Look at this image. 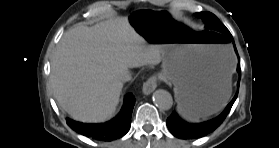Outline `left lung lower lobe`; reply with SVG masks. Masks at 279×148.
Here are the masks:
<instances>
[{"label": "left lung lower lobe", "instance_id": "0a47b994", "mask_svg": "<svg viewBox=\"0 0 279 148\" xmlns=\"http://www.w3.org/2000/svg\"><path fill=\"white\" fill-rule=\"evenodd\" d=\"M228 36H230L232 38V35L229 34ZM227 38V37H226ZM228 41H230V39L227 38ZM234 44V41H233ZM234 48H235V52L238 56V52L237 49L235 47L234 44ZM238 66H237V71L239 73V81H238V88H237V92L234 96V98L232 99V101L227 105L226 109L215 119L210 120L208 122H204V123H199V124H190L187 123L185 121H183L182 119H180L178 117V115L176 113H172L170 115V117L167 119V126L169 128V130L171 131V133L180 138V139H195V138H200L203 137L207 134H209L210 132L214 131L218 126H220V124L224 121V119L226 118V116L228 115V113L230 112L237 96H238V91H239V83H240V76H241V69H240V59L238 56Z\"/></svg>", "mask_w": 279, "mask_h": 148}]
</instances>
